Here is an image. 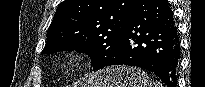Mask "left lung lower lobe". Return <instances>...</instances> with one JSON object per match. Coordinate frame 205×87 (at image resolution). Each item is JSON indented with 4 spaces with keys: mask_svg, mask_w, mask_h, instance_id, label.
I'll list each match as a JSON object with an SVG mask.
<instances>
[{
    "mask_svg": "<svg viewBox=\"0 0 205 87\" xmlns=\"http://www.w3.org/2000/svg\"><path fill=\"white\" fill-rule=\"evenodd\" d=\"M179 58L180 41L168 1L137 0L116 55L102 68L119 64L141 67L167 87H176Z\"/></svg>",
    "mask_w": 205,
    "mask_h": 87,
    "instance_id": "left-lung-lower-lobe-1",
    "label": "left lung lower lobe"
}]
</instances>
